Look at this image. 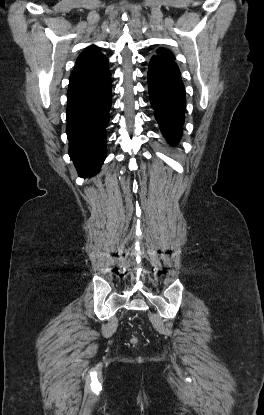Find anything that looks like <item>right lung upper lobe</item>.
Here are the masks:
<instances>
[{"label": "right lung upper lobe", "mask_w": 264, "mask_h": 415, "mask_svg": "<svg viewBox=\"0 0 264 415\" xmlns=\"http://www.w3.org/2000/svg\"><path fill=\"white\" fill-rule=\"evenodd\" d=\"M108 59L98 47H87L77 58L70 81L99 76L108 71Z\"/></svg>", "instance_id": "1"}]
</instances>
